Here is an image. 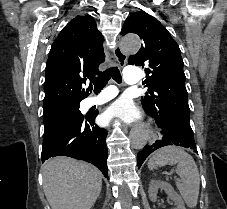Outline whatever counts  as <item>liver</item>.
Listing matches in <instances>:
<instances>
[{"instance_id": "6515ba94", "label": "liver", "mask_w": 227, "mask_h": 209, "mask_svg": "<svg viewBox=\"0 0 227 209\" xmlns=\"http://www.w3.org/2000/svg\"><path fill=\"white\" fill-rule=\"evenodd\" d=\"M43 189L51 209H91L101 193L102 175L93 165L56 157L44 165Z\"/></svg>"}]
</instances>
